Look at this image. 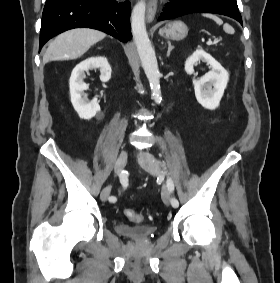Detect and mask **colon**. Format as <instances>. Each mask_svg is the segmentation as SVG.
<instances>
[{
  "label": "colon",
  "instance_id": "obj_1",
  "mask_svg": "<svg viewBox=\"0 0 280 283\" xmlns=\"http://www.w3.org/2000/svg\"><path fill=\"white\" fill-rule=\"evenodd\" d=\"M124 214L126 215L128 219L135 221V222H140L142 219L141 216L132 209H125Z\"/></svg>",
  "mask_w": 280,
  "mask_h": 283
}]
</instances>
